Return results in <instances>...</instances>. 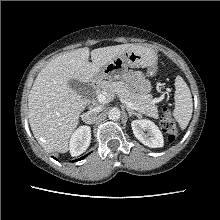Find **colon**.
Here are the masks:
<instances>
[{
	"label": "colon",
	"mask_w": 220,
	"mask_h": 220,
	"mask_svg": "<svg viewBox=\"0 0 220 220\" xmlns=\"http://www.w3.org/2000/svg\"><path fill=\"white\" fill-rule=\"evenodd\" d=\"M161 126L166 133L167 140L173 142L176 139L177 130L169 110L164 111Z\"/></svg>",
	"instance_id": "obj_1"
}]
</instances>
